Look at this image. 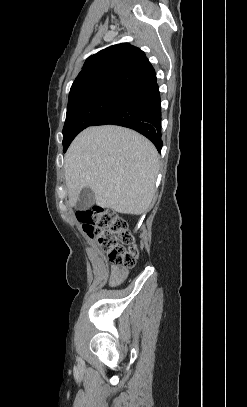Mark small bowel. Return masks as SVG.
<instances>
[{
    "label": "small bowel",
    "mask_w": 247,
    "mask_h": 407,
    "mask_svg": "<svg viewBox=\"0 0 247 407\" xmlns=\"http://www.w3.org/2000/svg\"><path fill=\"white\" fill-rule=\"evenodd\" d=\"M128 269L119 265H112L110 267V283L119 284L124 281L128 276Z\"/></svg>",
    "instance_id": "obj_1"
}]
</instances>
